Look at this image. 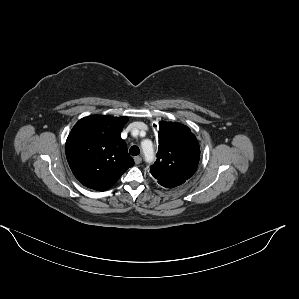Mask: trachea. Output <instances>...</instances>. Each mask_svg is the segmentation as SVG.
Returning <instances> with one entry per match:
<instances>
[{
  "label": "trachea",
  "instance_id": "trachea-1",
  "mask_svg": "<svg viewBox=\"0 0 299 299\" xmlns=\"http://www.w3.org/2000/svg\"><path fill=\"white\" fill-rule=\"evenodd\" d=\"M129 153L133 156H136L140 153V149L137 146H132L129 150Z\"/></svg>",
  "mask_w": 299,
  "mask_h": 299
}]
</instances>
